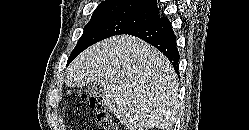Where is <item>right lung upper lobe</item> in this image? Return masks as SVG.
I'll list each match as a JSON object with an SVG mask.
<instances>
[{"mask_svg": "<svg viewBox=\"0 0 249 130\" xmlns=\"http://www.w3.org/2000/svg\"><path fill=\"white\" fill-rule=\"evenodd\" d=\"M112 4V5H122V6H132L141 8L151 12L159 13L157 7V0H106L99 5Z\"/></svg>", "mask_w": 249, "mask_h": 130, "instance_id": "1", "label": "right lung upper lobe"}]
</instances>
